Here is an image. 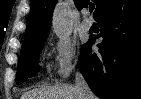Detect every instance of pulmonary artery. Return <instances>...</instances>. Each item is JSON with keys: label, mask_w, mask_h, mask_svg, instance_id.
Segmentation results:
<instances>
[{"label": "pulmonary artery", "mask_w": 141, "mask_h": 99, "mask_svg": "<svg viewBox=\"0 0 141 99\" xmlns=\"http://www.w3.org/2000/svg\"><path fill=\"white\" fill-rule=\"evenodd\" d=\"M85 18H84V20H83V22H82V29L84 30V31H88L90 28H91V26H92V24H93V21H92V19L89 17V15H88V13L87 12H85Z\"/></svg>", "instance_id": "1"}]
</instances>
